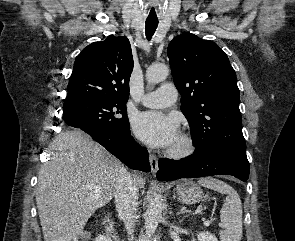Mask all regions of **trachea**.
Segmentation results:
<instances>
[{
  "mask_svg": "<svg viewBox=\"0 0 295 241\" xmlns=\"http://www.w3.org/2000/svg\"><path fill=\"white\" fill-rule=\"evenodd\" d=\"M158 26V20H146V37L148 40H150L153 36V34L156 31V28Z\"/></svg>",
  "mask_w": 295,
  "mask_h": 241,
  "instance_id": "trachea-1",
  "label": "trachea"
}]
</instances>
